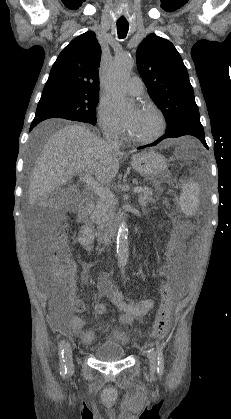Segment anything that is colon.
Segmentation results:
<instances>
[{
    "mask_svg": "<svg viewBox=\"0 0 231 419\" xmlns=\"http://www.w3.org/2000/svg\"><path fill=\"white\" fill-rule=\"evenodd\" d=\"M178 250V241L171 239L165 250V255L169 259L176 257ZM71 250L66 241L65 230L59 231L46 249V259L49 270V279L54 285L65 283L71 287L73 285L74 265L70 261ZM179 286L173 281H168L163 286V290L159 292V297L163 299L162 304L157 312L154 323L155 337L162 338L167 334L168 320L171 312L174 293H178ZM99 315L105 314V307L100 306L97 309ZM122 339H126L125 335H121Z\"/></svg>",
    "mask_w": 231,
    "mask_h": 419,
    "instance_id": "1",
    "label": "colon"
}]
</instances>
